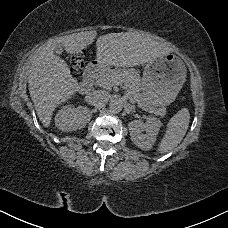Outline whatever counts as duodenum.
Returning a JSON list of instances; mask_svg holds the SVG:
<instances>
[{
    "label": "duodenum",
    "instance_id": "410a0bca",
    "mask_svg": "<svg viewBox=\"0 0 228 228\" xmlns=\"http://www.w3.org/2000/svg\"><path fill=\"white\" fill-rule=\"evenodd\" d=\"M98 73L99 65L97 63H90L85 72V81L87 83H94Z\"/></svg>",
    "mask_w": 228,
    "mask_h": 228
}]
</instances>
